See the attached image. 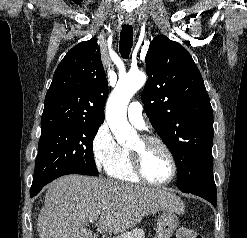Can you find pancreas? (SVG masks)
<instances>
[{
	"instance_id": "obj_1",
	"label": "pancreas",
	"mask_w": 247,
	"mask_h": 238,
	"mask_svg": "<svg viewBox=\"0 0 247 238\" xmlns=\"http://www.w3.org/2000/svg\"><path fill=\"white\" fill-rule=\"evenodd\" d=\"M115 238H145V234L143 231H132L127 233H122L121 235Z\"/></svg>"
}]
</instances>
